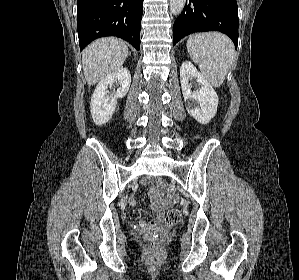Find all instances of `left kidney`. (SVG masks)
<instances>
[{"instance_id":"5707ae66","label":"left kidney","mask_w":299,"mask_h":280,"mask_svg":"<svg viewBox=\"0 0 299 280\" xmlns=\"http://www.w3.org/2000/svg\"><path fill=\"white\" fill-rule=\"evenodd\" d=\"M195 78L200 89L191 90L189 80ZM180 82L188 113L201 124H208L216 115L218 96L210 83L190 62L185 61L180 68Z\"/></svg>"}]
</instances>
